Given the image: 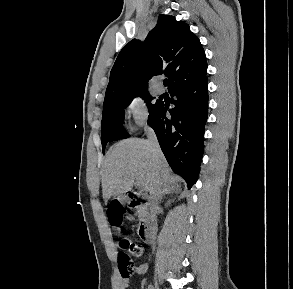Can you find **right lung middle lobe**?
I'll return each instance as SVG.
<instances>
[{"instance_id": "1", "label": "right lung middle lobe", "mask_w": 293, "mask_h": 289, "mask_svg": "<svg viewBox=\"0 0 293 289\" xmlns=\"http://www.w3.org/2000/svg\"><path fill=\"white\" fill-rule=\"evenodd\" d=\"M137 96H141L146 101L149 113H151L160 103L157 101L155 104H152L151 101L153 100V97L149 94V92L116 97L104 103L101 128V142L103 150L105 149L107 142L117 141L119 139L129 137L122 126L125 118L124 113L119 112V109L128 106L132 99Z\"/></svg>"}]
</instances>
